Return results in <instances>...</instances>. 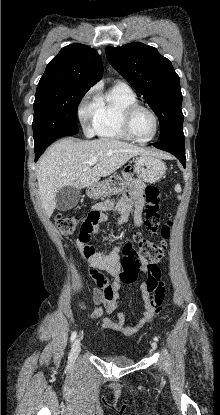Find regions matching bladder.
Returning <instances> with one entry per match:
<instances>
[{"instance_id":"obj_1","label":"bladder","mask_w":220,"mask_h":415,"mask_svg":"<svg viewBox=\"0 0 220 415\" xmlns=\"http://www.w3.org/2000/svg\"><path fill=\"white\" fill-rule=\"evenodd\" d=\"M104 360L118 367H128L134 363V360L126 355H105Z\"/></svg>"}]
</instances>
